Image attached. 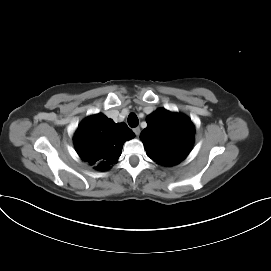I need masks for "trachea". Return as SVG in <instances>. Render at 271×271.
I'll return each mask as SVG.
<instances>
[{"label":"trachea","mask_w":271,"mask_h":271,"mask_svg":"<svg viewBox=\"0 0 271 271\" xmlns=\"http://www.w3.org/2000/svg\"><path fill=\"white\" fill-rule=\"evenodd\" d=\"M139 121H138V118L136 116V114L134 113H131L129 116H128V124L130 127L134 128L138 125Z\"/></svg>","instance_id":"trachea-1"}]
</instances>
